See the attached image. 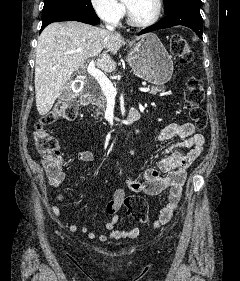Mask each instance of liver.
I'll return each mask as SVG.
<instances>
[{"instance_id":"6515ba94","label":"liver","mask_w":240,"mask_h":281,"mask_svg":"<svg viewBox=\"0 0 240 281\" xmlns=\"http://www.w3.org/2000/svg\"><path fill=\"white\" fill-rule=\"evenodd\" d=\"M144 36L136 38V40ZM120 34L69 21L48 25L38 38L35 58V98L38 113L46 115L64 90L74 71L90 59L111 73L116 63L110 54L125 45Z\"/></svg>"}]
</instances>
